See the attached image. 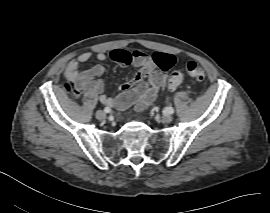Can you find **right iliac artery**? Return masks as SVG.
<instances>
[{
	"mask_svg": "<svg viewBox=\"0 0 270 213\" xmlns=\"http://www.w3.org/2000/svg\"><path fill=\"white\" fill-rule=\"evenodd\" d=\"M110 111H111L110 107H105V108H104V112H105V113H110Z\"/></svg>",
	"mask_w": 270,
	"mask_h": 213,
	"instance_id": "obj_1",
	"label": "right iliac artery"
}]
</instances>
